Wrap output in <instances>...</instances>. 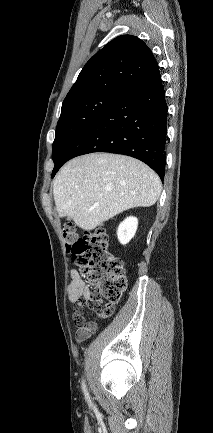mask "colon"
Returning <instances> with one entry per match:
<instances>
[{
    "mask_svg": "<svg viewBox=\"0 0 213 433\" xmlns=\"http://www.w3.org/2000/svg\"><path fill=\"white\" fill-rule=\"evenodd\" d=\"M63 237L67 252L79 266L91 292V299L82 302L74 316L78 329H83L92 322L84 317L85 308L92 311L96 319L112 315L126 289L125 268L123 261L110 251L104 228L78 236L75 226L67 222ZM102 299L106 302L103 303Z\"/></svg>",
    "mask_w": 213,
    "mask_h": 433,
    "instance_id": "1",
    "label": "colon"
}]
</instances>
